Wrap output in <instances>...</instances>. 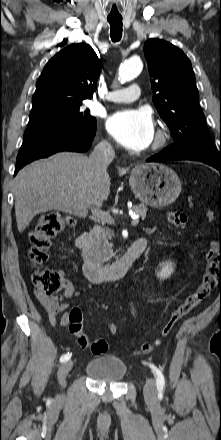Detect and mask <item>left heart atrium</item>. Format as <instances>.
Masks as SVG:
<instances>
[{
	"label": "left heart atrium",
	"instance_id": "1",
	"mask_svg": "<svg viewBox=\"0 0 221 440\" xmlns=\"http://www.w3.org/2000/svg\"><path fill=\"white\" fill-rule=\"evenodd\" d=\"M108 132L124 147L142 150L154 137L150 114L144 109H128L112 114L106 122Z\"/></svg>",
	"mask_w": 221,
	"mask_h": 440
}]
</instances>
